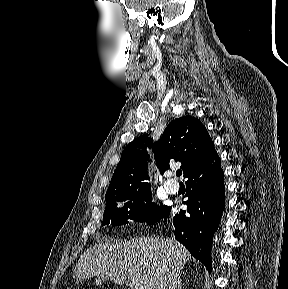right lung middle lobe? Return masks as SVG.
Here are the masks:
<instances>
[{"label":"right lung middle lobe","mask_w":288,"mask_h":289,"mask_svg":"<svg viewBox=\"0 0 288 289\" xmlns=\"http://www.w3.org/2000/svg\"><path fill=\"white\" fill-rule=\"evenodd\" d=\"M124 201L127 202L118 207V204ZM150 201H152L150 187L108 192L102 225L109 223L113 226L122 225L128 223L127 219L154 224L162 218L167 206L160 207Z\"/></svg>","instance_id":"dd1d6c3e"}]
</instances>
